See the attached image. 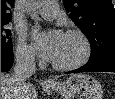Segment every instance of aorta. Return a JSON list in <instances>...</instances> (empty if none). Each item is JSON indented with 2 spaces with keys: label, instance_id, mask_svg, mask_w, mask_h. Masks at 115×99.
Here are the masks:
<instances>
[{
  "label": "aorta",
  "instance_id": "aorta-1",
  "mask_svg": "<svg viewBox=\"0 0 115 99\" xmlns=\"http://www.w3.org/2000/svg\"><path fill=\"white\" fill-rule=\"evenodd\" d=\"M42 0H37V1H31L30 3V8L35 9L38 8L42 4Z\"/></svg>",
  "mask_w": 115,
  "mask_h": 99
}]
</instances>
